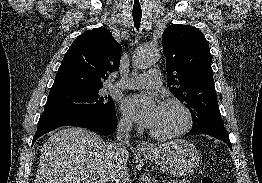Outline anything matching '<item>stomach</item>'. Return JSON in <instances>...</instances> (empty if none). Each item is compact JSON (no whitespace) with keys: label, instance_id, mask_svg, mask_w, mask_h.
<instances>
[{"label":"stomach","instance_id":"1","mask_svg":"<svg viewBox=\"0 0 262 183\" xmlns=\"http://www.w3.org/2000/svg\"><path fill=\"white\" fill-rule=\"evenodd\" d=\"M142 155L175 176L194 172L200 161L196 147L181 139L166 142L151 152H142Z\"/></svg>","mask_w":262,"mask_h":183}]
</instances>
